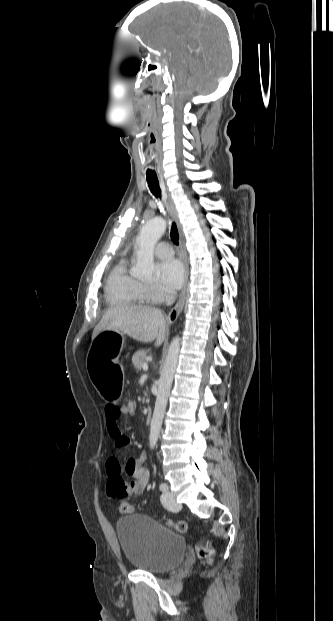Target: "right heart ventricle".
I'll return each instance as SVG.
<instances>
[{
  "label": "right heart ventricle",
  "instance_id": "1",
  "mask_svg": "<svg viewBox=\"0 0 333 621\" xmlns=\"http://www.w3.org/2000/svg\"><path fill=\"white\" fill-rule=\"evenodd\" d=\"M105 297L110 304L117 305H143L149 301L144 283L131 274L125 258L119 260L109 273Z\"/></svg>",
  "mask_w": 333,
  "mask_h": 621
}]
</instances>
